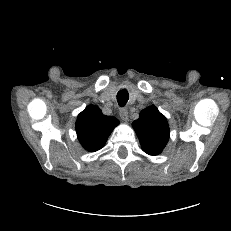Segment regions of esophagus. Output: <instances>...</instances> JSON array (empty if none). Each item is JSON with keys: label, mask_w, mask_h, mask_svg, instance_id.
I'll return each instance as SVG.
<instances>
[{"label": "esophagus", "mask_w": 231, "mask_h": 231, "mask_svg": "<svg viewBox=\"0 0 231 231\" xmlns=\"http://www.w3.org/2000/svg\"><path fill=\"white\" fill-rule=\"evenodd\" d=\"M120 117L124 122L128 121V111L125 108L120 109L119 111Z\"/></svg>", "instance_id": "1"}]
</instances>
